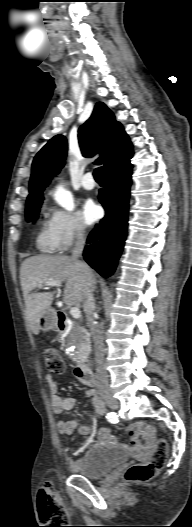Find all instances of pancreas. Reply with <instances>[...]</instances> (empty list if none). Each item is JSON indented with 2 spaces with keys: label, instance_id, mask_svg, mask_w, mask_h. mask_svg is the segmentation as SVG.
Masks as SVG:
<instances>
[{
  "label": "pancreas",
  "instance_id": "1",
  "mask_svg": "<svg viewBox=\"0 0 192 527\" xmlns=\"http://www.w3.org/2000/svg\"><path fill=\"white\" fill-rule=\"evenodd\" d=\"M69 344L76 346L77 350L80 351L85 343L87 342V337L85 335L84 328L80 324L73 322L71 329L68 334Z\"/></svg>",
  "mask_w": 192,
  "mask_h": 527
}]
</instances>
